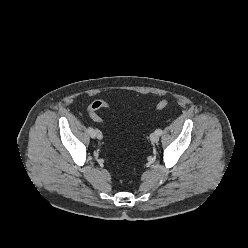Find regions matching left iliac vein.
Masks as SVG:
<instances>
[{
  "label": "left iliac vein",
  "instance_id": "1",
  "mask_svg": "<svg viewBox=\"0 0 248 248\" xmlns=\"http://www.w3.org/2000/svg\"><path fill=\"white\" fill-rule=\"evenodd\" d=\"M150 140L152 143H157L159 141V135L156 132H153L150 135Z\"/></svg>",
  "mask_w": 248,
  "mask_h": 248
}]
</instances>
